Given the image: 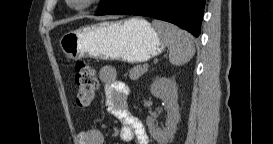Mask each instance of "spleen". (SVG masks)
Here are the masks:
<instances>
[{
    "instance_id": "obj_1",
    "label": "spleen",
    "mask_w": 273,
    "mask_h": 144,
    "mask_svg": "<svg viewBox=\"0 0 273 144\" xmlns=\"http://www.w3.org/2000/svg\"><path fill=\"white\" fill-rule=\"evenodd\" d=\"M153 27L158 31L168 47L169 61L172 65H184L195 54L193 37L179 27L163 21L154 20Z\"/></svg>"
}]
</instances>
